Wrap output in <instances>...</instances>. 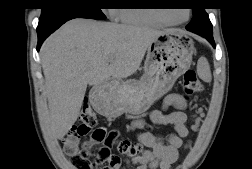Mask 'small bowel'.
<instances>
[{
  "instance_id": "small-bowel-1",
  "label": "small bowel",
  "mask_w": 252,
  "mask_h": 169,
  "mask_svg": "<svg viewBox=\"0 0 252 169\" xmlns=\"http://www.w3.org/2000/svg\"><path fill=\"white\" fill-rule=\"evenodd\" d=\"M169 107L176 108V111L167 113ZM186 100L183 95L173 93L165 97L162 109L153 110L150 119L158 125H171L174 132L166 137L156 136L150 132H140L138 138L147 148L141 157L132 163L125 161L117 169H171L173 163L178 158V150L182 146V139L188 133L187 115L184 112ZM145 121L137 119L132 123V128L140 130L144 127ZM92 142L99 143L98 139L92 135Z\"/></svg>"
}]
</instances>
